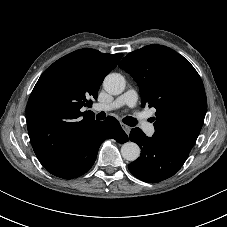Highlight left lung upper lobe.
<instances>
[{
	"label": "left lung upper lobe",
	"mask_w": 227,
	"mask_h": 227,
	"mask_svg": "<svg viewBox=\"0 0 227 227\" xmlns=\"http://www.w3.org/2000/svg\"><path fill=\"white\" fill-rule=\"evenodd\" d=\"M119 67L139 86L142 106L156 108V135L189 153L202 128L207 99L202 80L183 56L152 44L127 54Z\"/></svg>",
	"instance_id": "obj_1"
}]
</instances>
